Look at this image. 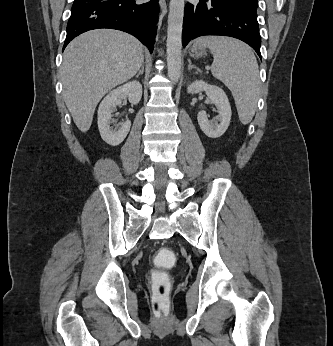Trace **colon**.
<instances>
[{
	"label": "colon",
	"mask_w": 333,
	"mask_h": 346,
	"mask_svg": "<svg viewBox=\"0 0 333 346\" xmlns=\"http://www.w3.org/2000/svg\"><path fill=\"white\" fill-rule=\"evenodd\" d=\"M175 249H160L153 258L152 275L153 288L152 299L153 309L156 315H164L169 308V293L174 287V282L170 280L167 273L163 271H173L175 268Z\"/></svg>",
	"instance_id": "colon-1"
}]
</instances>
